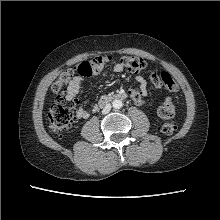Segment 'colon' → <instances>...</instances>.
I'll use <instances>...</instances> for the list:
<instances>
[{"label": "colon", "instance_id": "5ec220e1", "mask_svg": "<svg viewBox=\"0 0 220 220\" xmlns=\"http://www.w3.org/2000/svg\"><path fill=\"white\" fill-rule=\"evenodd\" d=\"M112 61L111 57H95L89 62L83 63L77 68H68L60 72L58 78L53 82L51 91L55 95L54 103L49 111L50 129L55 136H62L72 126L76 119L77 108L75 102H69V84L76 72L82 69L87 75L91 72L90 64L100 65ZM119 62L130 72L140 73L146 68L144 59L138 56H123ZM149 79L159 89L166 92H175L178 85L174 77L168 72L158 74L156 71L149 73ZM176 109L171 100L166 99L158 109V115L163 122L159 126V132L163 135H170L175 130V125L170 122L175 117Z\"/></svg>", "mask_w": 220, "mask_h": 220}]
</instances>
